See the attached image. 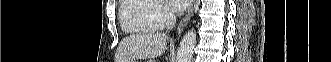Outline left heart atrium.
<instances>
[{
    "instance_id": "obj_1",
    "label": "left heart atrium",
    "mask_w": 331,
    "mask_h": 62,
    "mask_svg": "<svg viewBox=\"0 0 331 62\" xmlns=\"http://www.w3.org/2000/svg\"><path fill=\"white\" fill-rule=\"evenodd\" d=\"M190 3L191 0H169L170 6L176 12L184 11Z\"/></svg>"
}]
</instances>
